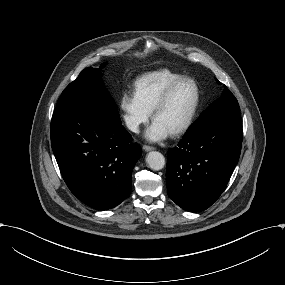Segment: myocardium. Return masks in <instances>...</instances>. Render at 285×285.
Segmentation results:
<instances>
[{
	"label": "myocardium",
	"mask_w": 285,
	"mask_h": 285,
	"mask_svg": "<svg viewBox=\"0 0 285 285\" xmlns=\"http://www.w3.org/2000/svg\"><path fill=\"white\" fill-rule=\"evenodd\" d=\"M184 82H191L194 84L195 89H196V101L195 104L193 106V109L191 110L188 118L177 128L173 129L170 133L173 135H177L180 134L184 131H186L191 124L193 123L199 108L201 106V102H202V91H201V87L199 85V83L192 77H183L179 80H177L176 82L172 83L166 90L165 92L162 94V96L160 97V99L158 100V102L155 104L153 110H152V117L154 118L156 113L162 109L169 101L171 95L173 94V92L176 90V88L178 86H180L181 84H183Z\"/></svg>",
	"instance_id": "1"
}]
</instances>
